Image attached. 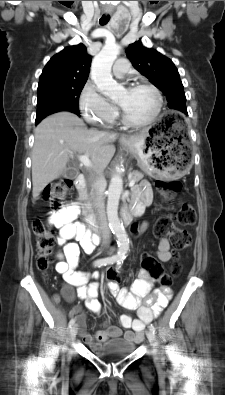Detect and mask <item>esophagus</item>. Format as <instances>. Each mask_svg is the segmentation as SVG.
Listing matches in <instances>:
<instances>
[{"mask_svg": "<svg viewBox=\"0 0 225 395\" xmlns=\"http://www.w3.org/2000/svg\"><path fill=\"white\" fill-rule=\"evenodd\" d=\"M127 138H128V137H127L126 135H122V136H121V139H122V140H126Z\"/></svg>", "mask_w": 225, "mask_h": 395, "instance_id": "obj_1", "label": "esophagus"}]
</instances>
